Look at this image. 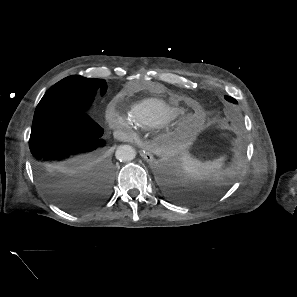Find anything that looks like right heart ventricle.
Listing matches in <instances>:
<instances>
[{
	"mask_svg": "<svg viewBox=\"0 0 297 297\" xmlns=\"http://www.w3.org/2000/svg\"><path fill=\"white\" fill-rule=\"evenodd\" d=\"M182 113L180 106L158 98H147L130 108L128 118L134 126L154 128L173 122Z\"/></svg>",
	"mask_w": 297,
	"mask_h": 297,
	"instance_id": "1",
	"label": "right heart ventricle"
}]
</instances>
